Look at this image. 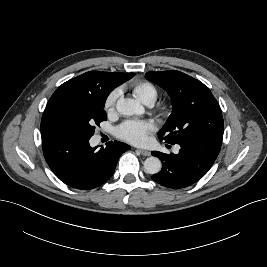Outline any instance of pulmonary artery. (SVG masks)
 I'll return each instance as SVG.
<instances>
[{"mask_svg":"<svg viewBox=\"0 0 267 267\" xmlns=\"http://www.w3.org/2000/svg\"><path fill=\"white\" fill-rule=\"evenodd\" d=\"M151 105H152V104H149V106H151ZM178 149H179V148H178V147H176V148H175V151H178Z\"/></svg>","mask_w":267,"mask_h":267,"instance_id":"pulmonary-artery-1","label":"pulmonary artery"}]
</instances>
